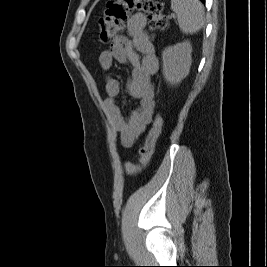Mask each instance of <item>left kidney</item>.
<instances>
[{
	"label": "left kidney",
	"mask_w": 267,
	"mask_h": 267,
	"mask_svg": "<svg viewBox=\"0 0 267 267\" xmlns=\"http://www.w3.org/2000/svg\"><path fill=\"white\" fill-rule=\"evenodd\" d=\"M192 46L189 41L167 47L162 52L163 76L171 85L179 84L189 74Z\"/></svg>",
	"instance_id": "1"
}]
</instances>
